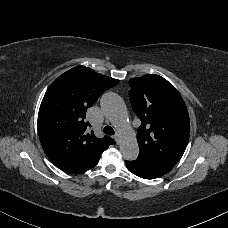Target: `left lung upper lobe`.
<instances>
[{
	"mask_svg": "<svg viewBox=\"0 0 228 228\" xmlns=\"http://www.w3.org/2000/svg\"><path fill=\"white\" fill-rule=\"evenodd\" d=\"M130 102L141 120L139 155L175 165L190 135L187 107L175 87L161 76L147 74L129 80Z\"/></svg>",
	"mask_w": 228,
	"mask_h": 228,
	"instance_id": "1",
	"label": "left lung upper lobe"
}]
</instances>
